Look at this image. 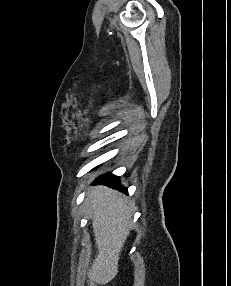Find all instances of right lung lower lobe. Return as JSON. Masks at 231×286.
I'll return each mask as SVG.
<instances>
[{
    "instance_id": "98d812e1",
    "label": "right lung lower lobe",
    "mask_w": 231,
    "mask_h": 286,
    "mask_svg": "<svg viewBox=\"0 0 231 286\" xmlns=\"http://www.w3.org/2000/svg\"><path fill=\"white\" fill-rule=\"evenodd\" d=\"M94 184H104V185L111 186L113 188H118L123 192H127V190L125 188L120 186L118 177H116L112 174H106V175H103V176L97 178L95 180Z\"/></svg>"
}]
</instances>
